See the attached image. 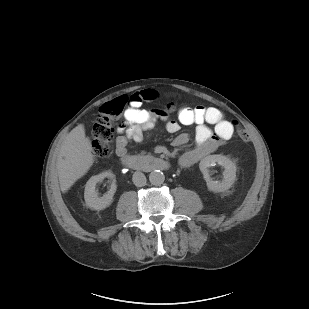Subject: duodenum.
Masks as SVG:
<instances>
[{
  "label": "duodenum",
  "mask_w": 309,
  "mask_h": 309,
  "mask_svg": "<svg viewBox=\"0 0 309 309\" xmlns=\"http://www.w3.org/2000/svg\"><path fill=\"white\" fill-rule=\"evenodd\" d=\"M122 164L128 169L142 171H164L169 168V164L166 160L154 156H147L143 158L125 156L122 159Z\"/></svg>",
  "instance_id": "duodenum-1"
}]
</instances>
